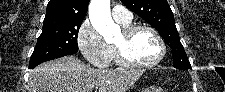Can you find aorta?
Instances as JSON below:
<instances>
[{"label":"aorta","instance_id":"1","mask_svg":"<svg viewBox=\"0 0 225 92\" xmlns=\"http://www.w3.org/2000/svg\"><path fill=\"white\" fill-rule=\"evenodd\" d=\"M89 18L95 30L105 41H110L119 32V26L114 23L110 13V0H91Z\"/></svg>","mask_w":225,"mask_h":92}]
</instances>
